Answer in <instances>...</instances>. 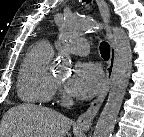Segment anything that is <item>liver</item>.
I'll return each instance as SVG.
<instances>
[{
	"instance_id": "6515ba94",
	"label": "liver",
	"mask_w": 144,
	"mask_h": 137,
	"mask_svg": "<svg viewBox=\"0 0 144 137\" xmlns=\"http://www.w3.org/2000/svg\"><path fill=\"white\" fill-rule=\"evenodd\" d=\"M72 122L42 106L22 104L10 108L0 124V137H65Z\"/></svg>"
}]
</instances>
